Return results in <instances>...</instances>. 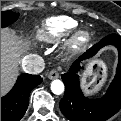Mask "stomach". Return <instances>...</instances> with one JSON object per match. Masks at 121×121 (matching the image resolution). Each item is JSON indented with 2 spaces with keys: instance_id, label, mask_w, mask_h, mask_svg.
Wrapping results in <instances>:
<instances>
[{
  "instance_id": "0dacf381",
  "label": "stomach",
  "mask_w": 121,
  "mask_h": 121,
  "mask_svg": "<svg viewBox=\"0 0 121 121\" xmlns=\"http://www.w3.org/2000/svg\"><path fill=\"white\" fill-rule=\"evenodd\" d=\"M107 78V67L102 60H94L82 76L84 88L88 94L97 92Z\"/></svg>"
}]
</instances>
